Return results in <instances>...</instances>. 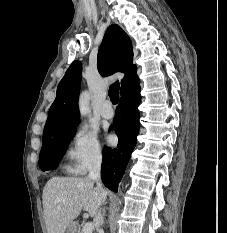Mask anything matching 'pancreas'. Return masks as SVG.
Masks as SVG:
<instances>
[{
    "instance_id": "cf45deb5",
    "label": "pancreas",
    "mask_w": 227,
    "mask_h": 233,
    "mask_svg": "<svg viewBox=\"0 0 227 233\" xmlns=\"http://www.w3.org/2000/svg\"><path fill=\"white\" fill-rule=\"evenodd\" d=\"M78 233H83V231L81 230V231H79Z\"/></svg>"
}]
</instances>
